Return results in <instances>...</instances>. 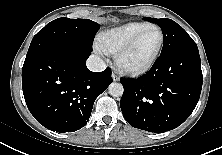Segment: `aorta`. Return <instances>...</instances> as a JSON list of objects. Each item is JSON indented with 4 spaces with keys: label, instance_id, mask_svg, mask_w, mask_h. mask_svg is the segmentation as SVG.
I'll return each instance as SVG.
<instances>
[{
    "label": "aorta",
    "instance_id": "aorta-1",
    "mask_svg": "<svg viewBox=\"0 0 222 155\" xmlns=\"http://www.w3.org/2000/svg\"><path fill=\"white\" fill-rule=\"evenodd\" d=\"M109 93L113 97H120L123 95L124 88L121 83L113 82L108 87Z\"/></svg>",
    "mask_w": 222,
    "mask_h": 155
}]
</instances>
